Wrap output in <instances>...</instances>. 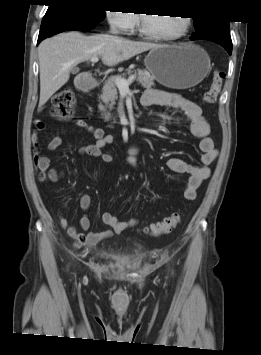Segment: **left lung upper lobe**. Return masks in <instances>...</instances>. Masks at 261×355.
I'll return each instance as SVG.
<instances>
[{"instance_id":"left-lung-upper-lobe-1","label":"left lung upper lobe","mask_w":261,"mask_h":355,"mask_svg":"<svg viewBox=\"0 0 261 355\" xmlns=\"http://www.w3.org/2000/svg\"><path fill=\"white\" fill-rule=\"evenodd\" d=\"M196 33L191 37L195 39H211L225 43H232L229 32V21L193 18Z\"/></svg>"}]
</instances>
